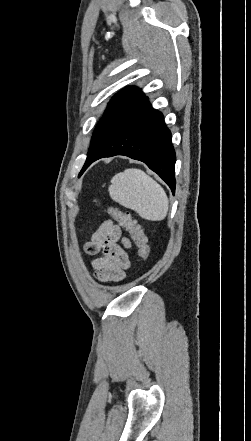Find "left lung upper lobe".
I'll return each instance as SVG.
<instances>
[{
    "mask_svg": "<svg viewBox=\"0 0 251 441\" xmlns=\"http://www.w3.org/2000/svg\"><path fill=\"white\" fill-rule=\"evenodd\" d=\"M144 94L137 87H126L118 92L108 103L107 110L102 118L108 116H122L130 111L133 105Z\"/></svg>",
    "mask_w": 251,
    "mask_h": 441,
    "instance_id": "5c2ea615",
    "label": "left lung upper lobe"
}]
</instances>
